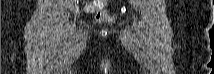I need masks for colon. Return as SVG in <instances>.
<instances>
[{"mask_svg": "<svg viewBox=\"0 0 214 74\" xmlns=\"http://www.w3.org/2000/svg\"><path fill=\"white\" fill-rule=\"evenodd\" d=\"M107 4V0H95L91 1L87 4L86 10L88 12H96V19L99 22H112L113 17L105 8Z\"/></svg>", "mask_w": 214, "mask_h": 74, "instance_id": "obj_1", "label": "colon"}]
</instances>
